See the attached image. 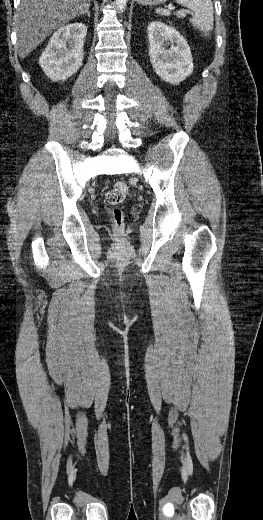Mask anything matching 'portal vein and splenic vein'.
I'll use <instances>...</instances> for the list:
<instances>
[{"label":"portal vein and splenic vein","instance_id":"18ae733b","mask_svg":"<svg viewBox=\"0 0 263 520\" xmlns=\"http://www.w3.org/2000/svg\"><path fill=\"white\" fill-rule=\"evenodd\" d=\"M169 9H170V10H174V9H175V6H173V5H169ZM183 12H184V11H183Z\"/></svg>","mask_w":263,"mask_h":520}]
</instances>
